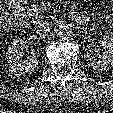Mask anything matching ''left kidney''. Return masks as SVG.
Wrapping results in <instances>:
<instances>
[{
    "instance_id": "obj_1",
    "label": "left kidney",
    "mask_w": 113,
    "mask_h": 113,
    "mask_svg": "<svg viewBox=\"0 0 113 113\" xmlns=\"http://www.w3.org/2000/svg\"><path fill=\"white\" fill-rule=\"evenodd\" d=\"M105 51L101 60L95 59L90 53L84 55L89 67L94 70H107L113 68V38L105 36L102 40Z\"/></svg>"
}]
</instances>
